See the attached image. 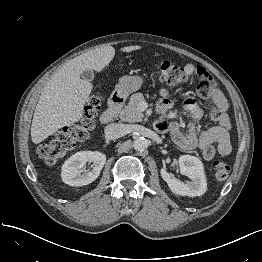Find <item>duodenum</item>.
Here are the masks:
<instances>
[{"instance_id": "410a0bca", "label": "duodenum", "mask_w": 262, "mask_h": 262, "mask_svg": "<svg viewBox=\"0 0 262 262\" xmlns=\"http://www.w3.org/2000/svg\"><path fill=\"white\" fill-rule=\"evenodd\" d=\"M124 103V97L121 93H114L109 101L106 110L101 114L100 121L102 124L110 123L119 113Z\"/></svg>"}]
</instances>
